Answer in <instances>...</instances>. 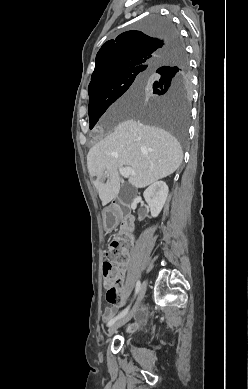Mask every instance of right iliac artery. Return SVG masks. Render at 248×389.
Instances as JSON below:
<instances>
[{
    "label": "right iliac artery",
    "instance_id": "82829eb1",
    "mask_svg": "<svg viewBox=\"0 0 248 389\" xmlns=\"http://www.w3.org/2000/svg\"><path fill=\"white\" fill-rule=\"evenodd\" d=\"M140 286H141L140 281H137V283H136V289H135V295H137V294L139 293ZM130 306H131V304H130L127 308H125L119 315H117L115 318L111 319V320L108 322V326L113 325V323H114L115 321H117L119 318H121V317H123L124 315H126V314L128 313V311H129V309H130Z\"/></svg>",
    "mask_w": 248,
    "mask_h": 389
}]
</instances>
